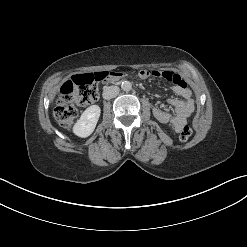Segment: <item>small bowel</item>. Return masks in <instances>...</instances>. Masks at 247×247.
Returning <instances> with one entry per match:
<instances>
[{
	"label": "small bowel",
	"instance_id": "c3829d8e",
	"mask_svg": "<svg viewBox=\"0 0 247 247\" xmlns=\"http://www.w3.org/2000/svg\"><path fill=\"white\" fill-rule=\"evenodd\" d=\"M122 76L120 73H112L109 80L115 81ZM139 76L141 78L159 77L173 84L174 92L182 98V100L172 99L169 101L174 107V115L157 107L153 109V115L158 121L169 123L175 131H180L195 107L192 92L188 88L186 81L179 74L169 70H141Z\"/></svg>",
	"mask_w": 247,
	"mask_h": 247
}]
</instances>
